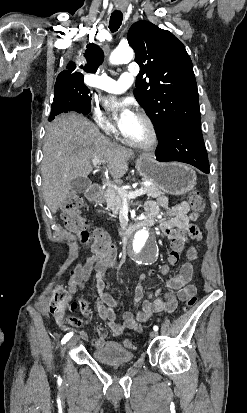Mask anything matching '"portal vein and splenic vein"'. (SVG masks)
I'll return each mask as SVG.
<instances>
[{"instance_id": "portal-vein-and-splenic-vein-1", "label": "portal vein and splenic vein", "mask_w": 247, "mask_h": 413, "mask_svg": "<svg viewBox=\"0 0 247 413\" xmlns=\"http://www.w3.org/2000/svg\"><path fill=\"white\" fill-rule=\"evenodd\" d=\"M101 160L100 158H92V164L94 166H97V164H100ZM117 188L119 194L121 196H125V198H136V196H141V194H146V190L144 188H138V190H132V192H128V190H125V188H120V186H116V184H109V188Z\"/></svg>"}]
</instances>
